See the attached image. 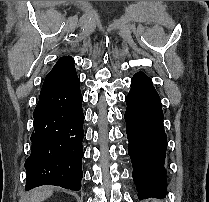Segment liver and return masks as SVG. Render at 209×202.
<instances>
[{"instance_id":"obj_1","label":"liver","mask_w":209,"mask_h":202,"mask_svg":"<svg viewBox=\"0 0 209 202\" xmlns=\"http://www.w3.org/2000/svg\"><path fill=\"white\" fill-rule=\"evenodd\" d=\"M52 195V189L50 188H42L39 191H35L31 198L30 202H42L44 199L50 197Z\"/></svg>"}]
</instances>
